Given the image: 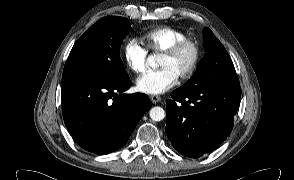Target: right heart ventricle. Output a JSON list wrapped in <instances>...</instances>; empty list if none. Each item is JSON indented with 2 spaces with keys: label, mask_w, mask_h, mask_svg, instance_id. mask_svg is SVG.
Segmentation results:
<instances>
[{
  "label": "right heart ventricle",
  "mask_w": 294,
  "mask_h": 180,
  "mask_svg": "<svg viewBox=\"0 0 294 180\" xmlns=\"http://www.w3.org/2000/svg\"><path fill=\"white\" fill-rule=\"evenodd\" d=\"M187 35L174 27H161L140 35V41L147 51L162 53L175 42L186 39Z\"/></svg>",
  "instance_id": "e07e8e85"
}]
</instances>
